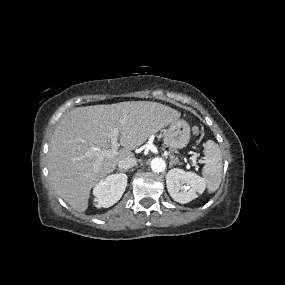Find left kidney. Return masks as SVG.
<instances>
[{
	"mask_svg": "<svg viewBox=\"0 0 285 285\" xmlns=\"http://www.w3.org/2000/svg\"><path fill=\"white\" fill-rule=\"evenodd\" d=\"M166 185L170 196L185 204L198 197L205 190L206 183L195 173L182 169H171L166 176Z\"/></svg>",
	"mask_w": 285,
	"mask_h": 285,
	"instance_id": "5707ae66",
	"label": "left kidney"
}]
</instances>
